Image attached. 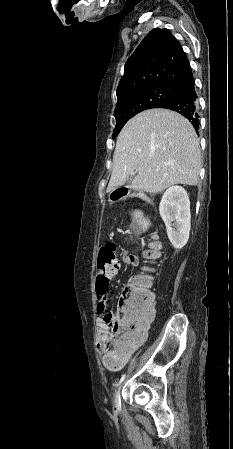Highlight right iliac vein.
<instances>
[{
  "label": "right iliac vein",
  "mask_w": 233,
  "mask_h": 449,
  "mask_svg": "<svg viewBox=\"0 0 233 449\" xmlns=\"http://www.w3.org/2000/svg\"><path fill=\"white\" fill-rule=\"evenodd\" d=\"M114 404H115L116 407L120 406V388L115 392Z\"/></svg>",
  "instance_id": "1"
}]
</instances>
